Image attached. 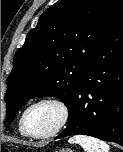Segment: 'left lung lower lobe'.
<instances>
[{
  "mask_svg": "<svg viewBox=\"0 0 123 152\" xmlns=\"http://www.w3.org/2000/svg\"><path fill=\"white\" fill-rule=\"evenodd\" d=\"M67 107L68 125L55 139L83 134L123 146V1Z\"/></svg>",
  "mask_w": 123,
  "mask_h": 152,
  "instance_id": "obj_1",
  "label": "left lung lower lobe"
}]
</instances>
